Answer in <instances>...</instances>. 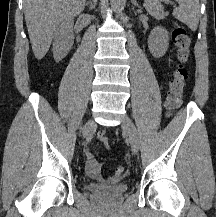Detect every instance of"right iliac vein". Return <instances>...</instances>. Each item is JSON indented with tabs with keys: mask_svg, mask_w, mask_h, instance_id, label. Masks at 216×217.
I'll use <instances>...</instances> for the list:
<instances>
[{
	"mask_svg": "<svg viewBox=\"0 0 216 217\" xmlns=\"http://www.w3.org/2000/svg\"><path fill=\"white\" fill-rule=\"evenodd\" d=\"M96 128V123L89 120L83 127V138H87Z\"/></svg>",
	"mask_w": 216,
	"mask_h": 217,
	"instance_id": "1",
	"label": "right iliac vein"
}]
</instances>
